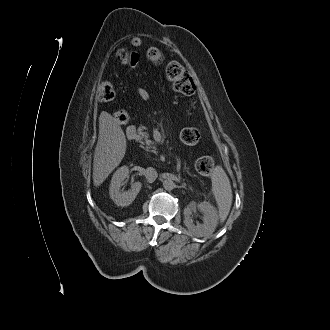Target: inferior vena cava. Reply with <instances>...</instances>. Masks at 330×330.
<instances>
[{"instance_id":"inferior-vena-cava-1","label":"inferior vena cava","mask_w":330,"mask_h":330,"mask_svg":"<svg viewBox=\"0 0 330 330\" xmlns=\"http://www.w3.org/2000/svg\"><path fill=\"white\" fill-rule=\"evenodd\" d=\"M145 177H146V180L149 182V183H152L156 180V178L158 177V173L157 171L152 168V167H149L145 170Z\"/></svg>"}]
</instances>
